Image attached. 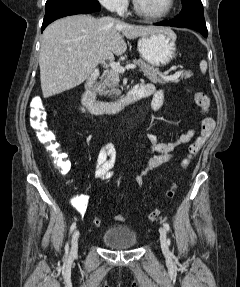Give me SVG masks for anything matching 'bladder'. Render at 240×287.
<instances>
[{
    "label": "bladder",
    "mask_w": 240,
    "mask_h": 287,
    "mask_svg": "<svg viewBox=\"0 0 240 287\" xmlns=\"http://www.w3.org/2000/svg\"><path fill=\"white\" fill-rule=\"evenodd\" d=\"M102 242L113 249H128L137 245L138 237L135 231L127 226H114L102 235Z\"/></svg>",
    "instance_id": "bladder-1"
}]
</instances>
